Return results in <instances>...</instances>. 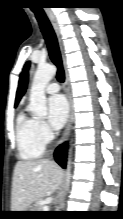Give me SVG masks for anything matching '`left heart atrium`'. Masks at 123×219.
I'll return each mask as SVG.
<instances>
[{
    "label": "left heart atrium",
    "instance_id": "39dd6f15",
    "mask_svg": "<svg viewBox=\"0 0 123 219\" xmlns=\"http://www.w3.org/2000/svg\"><path fill=\"white\" fill-rule=\"evenodd\" d=\"M68 104L64 96L54 95L48 100V118L54 129L61 128L68 117Z\"/></svg>",
    "mask_w": 123,
    "mask_h": 219
}]
</instances>
